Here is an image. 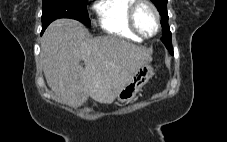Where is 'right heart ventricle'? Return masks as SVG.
I'll return each instance as SVG.
<instances>
[{"mask_svg": "<svg viewBox=\"0 0 227 142\" xmlns=\"http://www.w3.org/2000/svg\"><path fill=\"white\" fill-rule=\"evenodd\" d=\"M133 2L134 0H100L96 4L97 21L103 33L133 42L141 41L128 24L127 13Z\"/></svg>", "mask_w": 227, "mask_h": 142, "instance_id": "e07e8e85", "label": "right heart ventricle"}]
</instances>
